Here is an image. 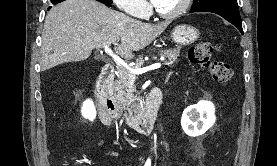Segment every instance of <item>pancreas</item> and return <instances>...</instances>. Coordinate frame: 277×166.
<instances>
[{
	"label": "pancreas",
	"mask_w": 277,
	"mask_h": 166,
	"mask_svg": "<svg viewBox=\"0 0 277 166\" xmlns=\"http://www.w3.org/2000/svg\"><path fill=\"white\" fill-rule=\"evenodd\" d=\"M160 56H164L167 60L165 65H173L180 55V48L160 50ZM143 58L140 56L136 60L134 69L140 68L143 64ZM134 74L123 66L117 68V80L113 83L114 99L118 103L121 110L128 111V113L136 117L139 113L143 112L139 103H135L137 97L130 91V79Z\"/></svg>",
	"instance_id": "pancreas-1"
}]
</instances>
